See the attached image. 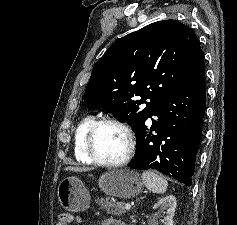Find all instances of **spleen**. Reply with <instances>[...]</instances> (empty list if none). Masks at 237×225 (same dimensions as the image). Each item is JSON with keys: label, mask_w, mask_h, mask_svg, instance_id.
I'll return each instance as SVG.
<instances>
[{"label": "spleen", "mask_w": 237, "mask_h": 225, "mask_svg": "<svg viewBox=\"0 0 237 225\" xmlns=\"http://www.w3.org/2000/svg\"><path fill=\"white\" fill-rule=\"evenodd\" d=\"M142 180L145 186L152 192L162 194L166 191L167 181L153 171H144L142 173Z\"/></svg>", "instance_id": "spleen-1"}]
</instances>
